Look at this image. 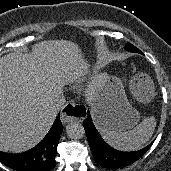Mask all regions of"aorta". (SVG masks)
<instances>
[{"label": "aorta", "instance_id": "762f6f07", "mask_svg": "<svg viewBox=\"0 0 171 171\" xmlns=\"http://www.w3.org/2000/svg\"><path fill=\"white\" fill-rule=\"evenodd\" d=\"M66 133L71 139H81L85 135V129L81 123L71 122L66 127Z\"/></svg>", "mask_w": 171, "mask_h": 171}]
</instances>
